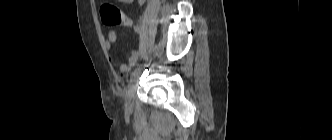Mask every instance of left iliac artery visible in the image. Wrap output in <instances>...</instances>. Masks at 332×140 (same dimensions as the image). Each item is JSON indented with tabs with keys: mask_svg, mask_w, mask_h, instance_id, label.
<instances>
[{
	"mask_svg": "<svg viewBox=\"0 0 332 140\" xmlns=\"http://www.w3.org/2000/svg\"><path fill=\"white\" fill-rule=\"evenodd\" d=\"M145 66H146V64L143 65V66H139V67L135 68L134 71H133L132 74H131V77H133V76H135L136 74H138V73H139V72H140Z\"/></svg>",
	"mask_w": 332,
	"mask_h": 140,
	"instance_id": "1",
	"label": "left iliac artery"
}]
</instances>
